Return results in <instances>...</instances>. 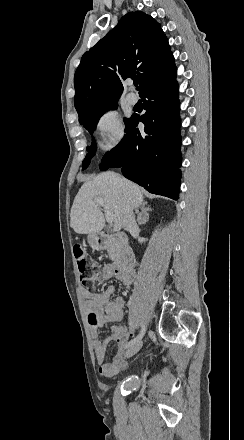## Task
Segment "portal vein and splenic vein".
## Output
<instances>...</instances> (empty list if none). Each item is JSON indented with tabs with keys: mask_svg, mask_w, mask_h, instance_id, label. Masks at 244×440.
Returning <instances> with one entry per match:
<instances>
[{
	"mask_svg": "<svg viewBox=\"0 0 244 440\" xmlns=\"http://www.w3.org/2000/svg\"><path fill=\"white\" fill-rule=\"evenodd\" d=\"M96 204H99V206H102V208H105V218L108 222V224H113L114 222V218H113V214L112 212H109V210H107V206L105 204V200H102V198H100V200H95Z\"/></svg>",
	"mask_w": 244,
	"mask_h": 440,
	"instance_id": "obj_1",
	"label": "portal vein and splenic vein"
}]
</instances>
